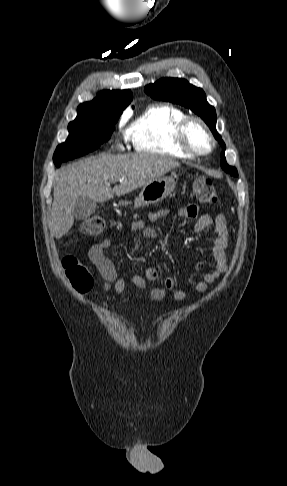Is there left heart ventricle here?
<instances>
[{
	"mask_svg": "<svg viewBox=\"0 0 287 486\" xmlns=\"http://www.w3.org/2000/svg\"><path fill=\"white\" fill-rule=\"evenodd\" d=\"M188 139L193 147L200 151H205L209 148L210 142L205 133L198 125H191L188 130Z\"/></svg>",
	"mask_w": 287,
	"mask_h": 486,
	"instance_id": "b2bd125f",
	"label": "left heart ventricle"
}]
</instances>
